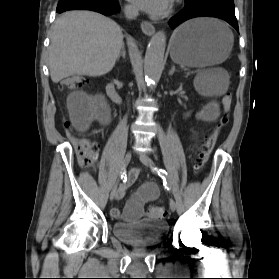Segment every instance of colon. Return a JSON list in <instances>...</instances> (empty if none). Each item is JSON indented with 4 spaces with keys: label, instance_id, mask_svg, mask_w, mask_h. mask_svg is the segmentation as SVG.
<instances>
[{
    "label": "colon",
    "instance_id": "obj_1",
    "mask_svg": "<svg viewBox=\"0 0 279 279\" xmlns=\"http://www.w3.org/2000/svg\"><path fill=\"white\" fill-rule=\"evenodd\" d=\"M88 83V79L84 76L74 75L64 78L60 81L59 86L62 90H72L79 88ZM233 94L227 92L222 98V114L214 123L213 127L204 135L202 141L199 144V151L195 159L196 172L201 171L216 144L219 131L228 123V112L232 105ZM67 133L73 136V130L70 126H67ZM75 151L78 162L81 166H92L97 159V146L89 140L78 139L75 143ZM147 215L153 219H162L166 216L165 208L157 205H150L147 208Z\"/></svg>",
    "mask_w": 279,
    "mask_h": 279
}]
</instances>
